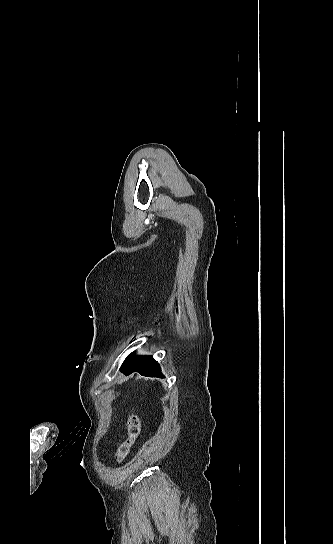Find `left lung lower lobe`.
Segmentation results:
<instances>
[{
  "label": "left lung lower lobe",
  "instance_id": "0a47b994",
  "mask_svg": "<svg viewBox=\"0 0 333 544\" xmlns=\"http://www.w3.org/2000/svg\"><path fill=\"white\" fill-rule=\"evenodd\" d=\"M121 370L126 375L133 372H139L144 376L163 377L159 365L151 356L133 359L132 356L129 355L123 363Z\"/></svg>",
  "mask_w": 333,
  "mask_h": 544
}]
</instances>
